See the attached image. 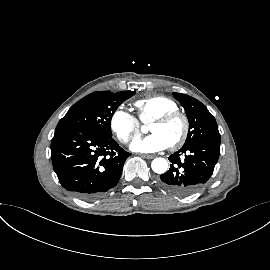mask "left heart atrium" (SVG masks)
Returning a JSON list of instances; mask_svg holds the SVG:
<instances>
[{
	"label": "left heart atrium",
	"mask_w": 270,
	"mask_h": 270,
	"mask_svg": "<svg viewBox=\"0 0 270 270\" xmlns=\"http://www.w3.org/2000/svg\"><path fill=\"white\" fill-rule=\"evenodd\" d=\"M169 147L168 143L158 134L152 133L144 138H137L131 143V150L140 153H155Z\"/></svg>",
	"instance_id": "obj_1"
}]
</instances>
